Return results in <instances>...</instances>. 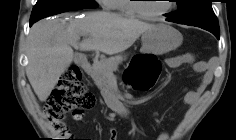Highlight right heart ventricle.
Wrapping results in <instances>:
<instances>
[{"label": "right heart ventricle", "mask_w": 236, "mask_h": 140, "mask_svg": "<svg viewBox=\"0 0 236 140\" xmlns=\"http://www.w3.org/2000/svg\"><path fill=\"white\" fill-rule=\"evenodd\" d=\"M131 0H110L111 9L118 11L122 15L135 16V12L131 7Z\"/></svg>", "instance_id": "obj_1"}]
</instances>
